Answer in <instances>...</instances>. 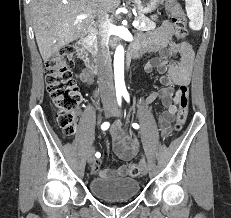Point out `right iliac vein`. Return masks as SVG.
Masks as SVG:
<instances>
[{"mask_svg":"<svg viewBox=\"0 0 231 218\" xmlns=\"http://www.w3.org/2000/svg\"><path fill=\"white\" fill-rule=\"evenodd\" d=\"M114 111L115 109L112 105L107 104L103 106V112L106 117H110L114 113ZM94 160H95V149L91 148L87 155V162L91 164L94 162Z\"/></svg>","mask_w":231,"mask_h":218,"instance_id":"right-iliac-vein-1","label":"right iliac vein"}]
</instances>
